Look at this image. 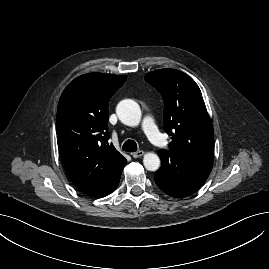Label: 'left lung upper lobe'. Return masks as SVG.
I'll return each instance as SVG.
<instances>
[{"label": "left lung upper lobe", "instance_id": "5c2ea615", "mask_svg": "<svg viewBox=\"0 0 269 269\" xmlns=\"http://www.w3.org/2000/svg\"><path fill=\"white\" fill-rule=\"evenodd\" d=\"M145 80L163 96L164 129L172 136L169 149L213 162L214 131L195 81L169 68L149 72Z\"/></svg>", "mask_w": 269, "mask_h": 269}]
</instances>
